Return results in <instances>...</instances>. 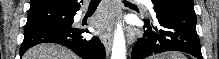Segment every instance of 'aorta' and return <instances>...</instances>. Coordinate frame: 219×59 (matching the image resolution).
Returning <instances> with one entry per match:
<instances>
[{"instance_id":"obj_1","label":"aorta","mask_w":219,"mask_h":59,"mask_svg":"<svg viewBox=\"0 0 219 59\" xmlns=\"http://www.w3.org/2000/svg\"><path fill=\"white\" fill-rule=\"evenodd\" d=\"M111 59H126V45L122 25L118 24L114 33Z\"/></svg>"}]
</instances>
